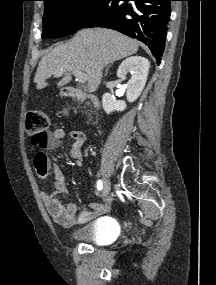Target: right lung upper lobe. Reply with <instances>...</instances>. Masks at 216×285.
Here are the masks:
<instances>
[{"label":"right lung upper lobe","instance_id":"1","mask_svg":"<svg viewBox=\"0 0 216 285\" xmlns=\"http://www.w3.org/2000/svg\"><path fill=\"white\" fill-rule=\"evenodd\" d=\"M42 1H44V3H47V2L50 1V0H42Z\"/></svg>","mask_w":216,"mask_h":285}]
</instances>
